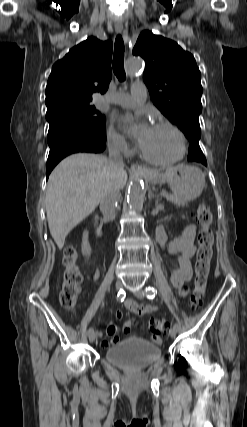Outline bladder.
<instances>
[{"label":"bladder","mask_w":247,"mask_h":427,"mask_svg":"<svg viewBox=\"0 0 247 427\" xmlns=\"http://www.w3.org/2000/svg\"><path fill=\"white\" fill-rule=\"evenodd\" d=\"M161 355L159 346L143 340H125L108 347V362L128 370H138L154 363Z\"/></svg>","instance_id":"bladder-1"}]
</instances>
